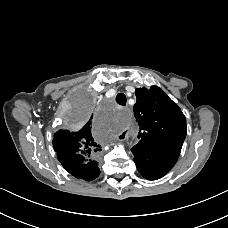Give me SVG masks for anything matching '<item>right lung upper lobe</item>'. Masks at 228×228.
I'll return each instance as SVG.
<instances>
[{"label":"right lung upper lobe","instance_id":"1","mask_svg":"<svg viewBox=\"0 0 228 228\" xmlns=\"http://www.w3.org/2000/svg\"><path fill=\"white\" fill-rule=\"evenodd\" d=\"M92 117L81 129L57 131L53 139L58 160L71 164L80 173V178L87 181L95 177L97 162L92 159L101 151L92 135Z\"/></svg>","mask_w":228,"mask_h":228}]
</instances>
